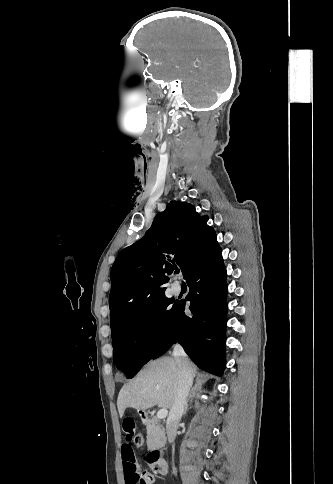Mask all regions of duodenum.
<instances>
[{"label":"duodenum","instance_id":"1","mask_svg":"<svg viewBox=\"0 0 333 484\" xmlns=\"http://www.w3.org/2000/svg\"><path fill=\"white\" fill-rule=\"evenodd\" d=\"M148 458L152 465L154 472L164 475L167 472V466L165 460L161 457V451L158 449L150 451Z\"/></svg>","mask_w":333,"mask_h":484}]
</instances>
